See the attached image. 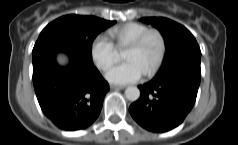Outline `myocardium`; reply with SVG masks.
Instances as JSON below:
<instances>
[{
  "mask_svg": "<svg viewBox=\"0 0 238 145\" xmlns=\"http://www.w3.org/2000/svg\"><path fill=\"white\" fill-rule=\"evenodd\" d=\"M152 36L156 37L159 41V52L151 66L145 72L147 76L152 75L159 68L165 57L167 43L164 34L158 29H149L127 46L130 49H139Z\"/></svg>",
  "mask_w": 238,
  "mask_h": 145,
  "instance_id": "myocardium-1",
  "label": "myocardium"
}]
</instances>
